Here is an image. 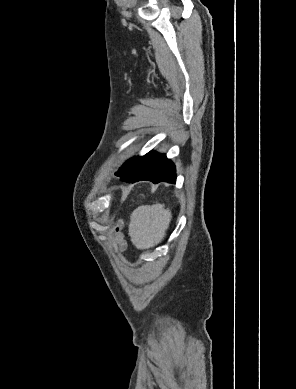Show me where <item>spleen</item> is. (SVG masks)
<instances>
[{
  "instance_id": "3e777b00",
  "label": "spleen",
  "mask_w": 296,
  "mask_h": 389,
  "mask_svg": "<svg viewBox=\"0 0 296 389\" xmlns=\"http://www.w3.org/2000/svg\"><path fill=\"white\" fill-rule=\"evenodd\" d=\"M171 212L163 204L140 206L130 216L129 236L140 250L149 249L164 238L171 221Z\"/></svg>"
}]
</instances>
